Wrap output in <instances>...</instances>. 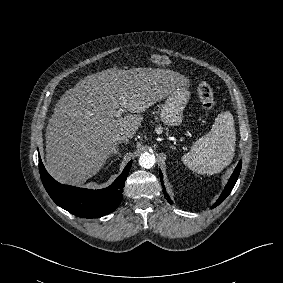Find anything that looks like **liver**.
Segmentation results:
<instances>
[{
  "instance_id": "liver-1",
  "label": "liver",
  "mask_w": 283,
  "mask_h": 283,
  "mask_svg": "<svg viewBox=\"0 0 283 283\" xmlns=\"http://www.w3.org/2000/svg\"><path fill=\"white\" fill-rule=\"evenodd\" d=\"M159 68H111L86 76L65 92L46 129V170L56 180L80 185L105 164L116 135L132 138L145 112L187 84ZM122 107L131 113L116 118Z\"/></svg>"
}]
</instances>
